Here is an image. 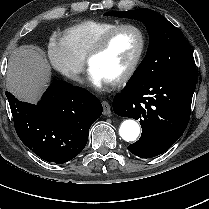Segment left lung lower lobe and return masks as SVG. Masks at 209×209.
I'll return each mask as SVG.
<instances>
[{
  "mask_svg": "<svg viewBox=\"0 0 209 209\" xmlns=\"http://www.w3.org/2000/svg\"><path fill=\"white\" fill-rule=\"evenodd\" d=\"M196 66L189 65L157 78L131 77L115 95L114 112L140 120L142 135L127 149L141 158L167 151L184 133L196 87Z\"/></svg>",
  "mask_w": 209,
  "mask_h": 209,
  "instance_id": "left-lung-lower-lobe-1",
  "label": "left lung lower lobe"
}]
</instances>
